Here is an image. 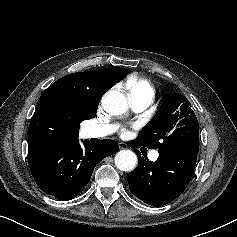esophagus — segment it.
Masks as SVG:
<instances>
[{
  "mask_svg": "<svg viewBox=\"0 0 237 237\" xmlns=\"http://www.w3.org/2000/svg\"><path fill=\"white\" fill-rule=\"evenodd\" d=\"M118 145H119V148H120L121 150L128 148L127 144L124 143V142H120V143H118Z\"/></svg>",
  "mask_w": 237,
  "mask_h": 237,
  "instance_id": "obj_1",
  "label": "esophagus"
}]
</instances>
